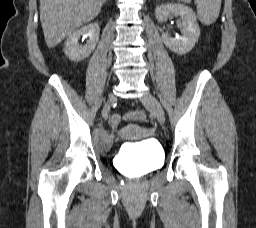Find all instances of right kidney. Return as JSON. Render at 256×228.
<instances>
[{
    "label": "right kidney",
    "instance_id": "1",
    "mask_svg": "<svg viewBox=\"0 0 256 228\" xmlns=\"http://www.w3.org/2000/svg\"><path fill=\"white\" fill-rule=\"evenodd\" d=\"M100 28L97 23L86 25L69 35L65 42V55L70 60L81 61L90 56L99 40ZM89 38L85 45L78 43L80 37Z\"/></svg>",
    "mask_w": 256,
    "mask_h": 228
}]
</instances>
